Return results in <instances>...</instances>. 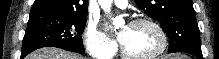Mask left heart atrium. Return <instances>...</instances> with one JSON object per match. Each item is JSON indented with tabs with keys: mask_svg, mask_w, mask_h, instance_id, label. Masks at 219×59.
<instances>
[{
	"mask_svg": "<svg viewBox=\"0 0 219 59\" xmlns=\"http://www.w3.org/2000/svg\"><path fill=\"white\" fill-rule=\"evenodd\" d=\"M125 37V33H120L118 38H119V41L122 42V40L124 39Z\"/></svg>",
	"mask_w": 219,
	"mask_h": 59,
	"instance_id": "left-heart-atrium-1",
	"label": "left heart atrium"
}]
</instances>
